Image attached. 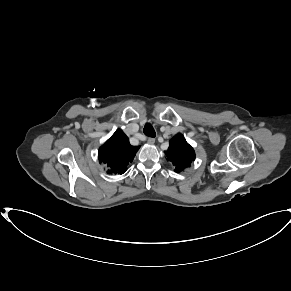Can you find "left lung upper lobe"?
<instances>
[{
    "mask_svg": "<svg viewBox=\"0 0 291 291\" xmlns=\"http://www.w3.org/2000/svg\"><path fill=\"white\" fill-rule=\"evenodd\" d=\"M165 154L169 161L175 165V172L179 173L189 167L195 159L193 148L186 142L182 134H177L170 140Z\"/></svg>",
    "mask_w": 291,
    "mask_h": 291,
    "instance_id": "1",
    "label": "left lung upper lobe"
}]
</instances>
